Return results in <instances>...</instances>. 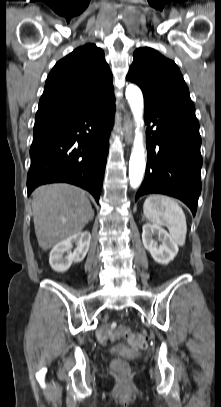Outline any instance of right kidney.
<instances>
[{"mask_svg":"<svg viewBox=\"0 0 221 407\" xmlns=\"http://www.w3.org/2000/svg\"><path fill=\"white\" fill-rule=\"evenodd\" d=\"M90 240V232L84 231L57 243L51 250L49 257V263L52 269L56 272H65L70 268L73 262H81L89 250ZM73 243H75L77 247L73 252H69ZM66 252L67 255H65Z\"/></svg>","mask_w":221,"mask_h":407,"instance_id":"right-kidney-1","label":"right kidney"}]
</instances>
